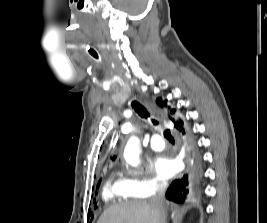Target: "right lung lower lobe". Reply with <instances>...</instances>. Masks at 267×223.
Listing matches in <instances>:
<instances>
[{
    "mask_svg": "<svg viewBox=\"0 0 267 223\" xmlns=\"http://www.w3.org/2000/svg\"><path fill=\"white\" fill-rule=\"evenodd\" d=\"M180 131H182V134H185L184 127ZM200 177L201 168L199 161L196 160L188 172L171 183L166 192V197L174 202H183L189 194L192 185L197 182Z\"/></svg>",
    "mask_w": 267,
    "mask_h": 223,
    "instance_id": "1",
    "label": "right lung lower lobe"
}]
</instances>
